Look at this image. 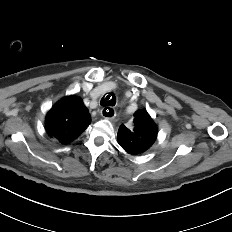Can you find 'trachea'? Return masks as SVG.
Listing matches in <instances>:
<instances>
[{
    "label": "trachea",
    "mask_w": 232,
    "mask_h": 232,
    "mask_svg": "<svg viewBox=\"0 0 232 232\" xmlns=\"http://www.w3.org/2000/svg\"><path fill=\"white\" fill-rule=\"evenodd\" d=\"M116 103V97L113 93H107L103 96V98L100 101V104L102 106H114Z\"/></svg>",
    "instance_id": "3493384b"
}]
</instances>
